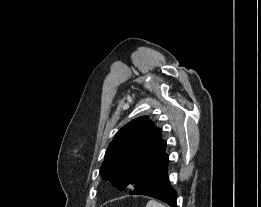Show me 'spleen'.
I'll return each instance as SVG.
<instances>
[{"instance_id": "obj_1", "label": "spleen", "mask_w": 261, "mask_h": 207, "mask_svg": "<svg viewBox=\"0 0 261 207\" xmlns=\"http://www.w3.org/2000/svg\"><path fill=\"white\" fill-rule=\"evenodd\" d=\"M146 207H165V206H164L163 204H161V203L155 201V200H150V201L147 203Z\"/></svg>"}]
</instances>
